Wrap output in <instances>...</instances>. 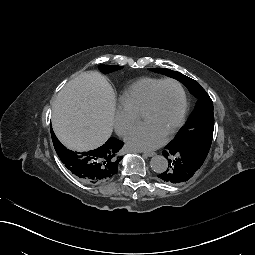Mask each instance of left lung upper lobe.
I'll return each mask as SVG.
<instances>
[{
	"label": "left lung upper lobe",
	"mask_w": 255,
	"mask_h": 255,
	"mask_svg": "<svg viewBox=\"0 0 255 255\" xmlns=\"http://www.w3.org/2000/svg\"><path fill=\"white\" fill-rule=\"evenodd\" d=\"M150 70L177 79L198 99L194 111L180 130L182 132L176 135L167 146L173 142L178 146L184 144L190 147L191 150L196 151L205 160L210 152L214 130L213 103L211 98L195 80L177 71L166 68H150Z\"/></svg>",
	"instance_id": "5c2ea615"
}]
</instances>
